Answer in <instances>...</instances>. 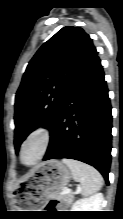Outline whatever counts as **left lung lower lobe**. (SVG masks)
I'll return each instance as SVG.
<instances>
[{"label": "left lung lower lobe", "mask_w": 123, "mask_h": 219, "mask_svg": "<svg viewBox=\"0 0 123 219\" xmlns=\"http://www.w3.org/2000/svg\"><path fill=\"white\" fill-rule=\"evenodd\" d=\"M111 104L99 57L76 80L51 129L43 158H68L95 167L108 183L111 163Z\"/></svg>", "instance_id": "obj_1"}]
</instances>
